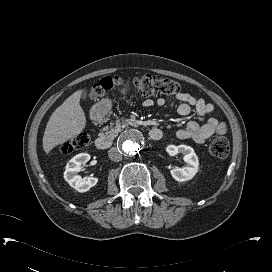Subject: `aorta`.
I'll return each mask as SVG.
<instances>
[{"label":"aorta","instance_id":"aorta-1","mask_svg":"<svg viewBox=\"0 0 272 272\" xmlns=\"http://www.w3.org/2000/svg\"><path fill=\"white\" fill-rule=\"evenodd\" d=\"M120 147L128 156L139 154L145 147V137L138 129H130L120 139Z\"/></svg>","mask_w":272,"mask_h":272}]
</instances>
